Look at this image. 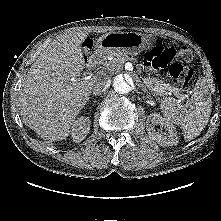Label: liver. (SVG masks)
Segmentation results:
<instances>
[{
    "mask_svg": "<svg viewBox=\"0 0 221 221\" xmlns=\"http://www.w3.org/2000/svg\"><path fill=\"white\" fill-rule=\"evenodd\" d=\"M85 31L54 39L31 66L19 98L23 121L44 139H65L100 79L79 78L84 69Z\"/></svg>",
    "mask_w": 221,
    "mask_h": 221,
    "instance_id": "1",
    "label": "liver"
}]
</instances>
